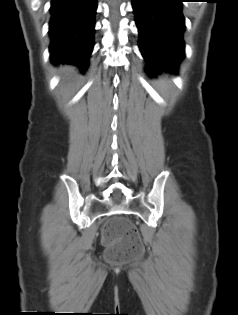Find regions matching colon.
I'll use <instances>...</instances> for the list:
<instances>
[{
	"label": "colon",
	"instance_id": "5ec220e1",
	"mask_svg": "<svg viewBox=\"0 0 238 315\" xmlns=\"http://www.w3.org/2000/svg\"><path fill=\"white\" fill-rule=\"evenodd\" d=\"M103 242L106 258L113 263L131 261L141 256L143 246L136 226L125 217H113L105 224Z\"/></svg>",
	"mask_w": 238,
	"mask_h": 315
}]
</instances>
